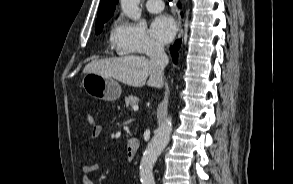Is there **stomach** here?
Listing matches in <instances>:
<instances>
[{
	"label": "stomach",
	"instance_id": "obj_1",
	"mask_svg": "<svg viewBox=\"0 0 293 184\" xmlns=\"http://www.w3.org/2000/svg\"><path fill=\"white\" fill-rule=\"evenodd\" d=\"M82 86L89 96L104 101H115L122 92L121 86L114 78L93 72L85 73Z\"/></svg>",
	"mask_w": 293,
	"mask_h": 184
}]
</instances>
